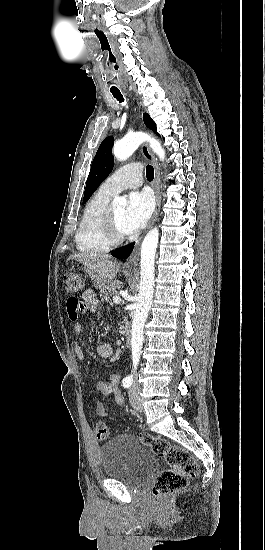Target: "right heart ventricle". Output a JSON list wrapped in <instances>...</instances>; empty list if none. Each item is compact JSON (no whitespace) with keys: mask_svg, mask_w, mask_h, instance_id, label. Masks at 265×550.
Segmentation results:
<instances>
[{"mask_svg":"<svg viewBox=\"0 0 265 550\" xmlns=\"http://www.w3.org/2000/svg\"><path fill=\"white\" fill-rule=\"evenodd\" d=\"M114 195L101 187L87 202L75 235V243L81 252H107L111 243L104 235L102 223Z\"/></svg>","mask_w":265,"mask_h":550,"instance_id":"obj_1","label":"right heart ventricle"}]
</instances>
